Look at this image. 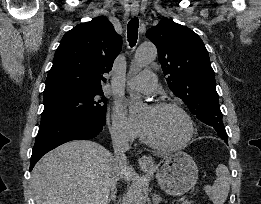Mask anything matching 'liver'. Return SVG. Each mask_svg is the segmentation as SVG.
Instances as JSON below:
<instances>
[{
	"label": "liver",
	"instance_id": "obj_1",
	"mask_svg": "<svg viewBox=\"0 0 261 204\" xmlns=\"http://www.w3.org/2000/svg\"><path fill=\"white\" fill-rule=\"evenodd\" d=\"M112 166V154L98 143H65L45 155L32 171L36 204H107ZM120 177L130 181L133 168L126 165Z\"/></svg>",
	"mask_w": 261,
	"mask_h": 204
}]
</instances>
